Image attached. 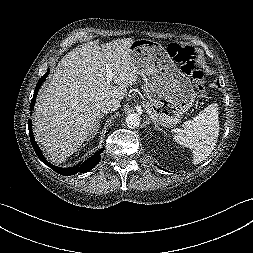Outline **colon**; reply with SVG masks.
<instances>
[{
	"mask_svg": "<svg viewBox=\"0 0 253 253\" xmlns=\"http://www.w3.org/2000/svg\"><path fill=\"white\" fill-rule=\"evenodd\" d=\"M167 52L169 56L178 62L182 69L193 78L198 92L204 95L205 72L199 62L195 49L188 46H181L178 43H170Z\"/></svg>",
	"mask_w": 253,
	"mask_h": 253,
	"instance_id": "obj_1",
	"label": "colon"
}]
</instances>
